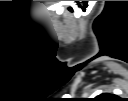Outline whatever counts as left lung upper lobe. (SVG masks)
<instances>
[{"mask_svg":"<svg viewBox=\"0 0 128 101\" xmlns=\"http://www.w3.org/2000/svg\"><path fill=\"white\" fill-rule=\"evenodd\" d=\"M105 97H108V99H112L111 97H114V95H111V94H103L101 95L98 99H104ZM110 97V98H109Z\"/></svg>","mask_w":128,"mask_h":101,"instance_id":"obj_1","label":"left lung upper lobe"}]
</instances>
